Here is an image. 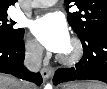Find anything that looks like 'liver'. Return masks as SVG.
Wrapping results in <instances>:
<instances>
[{
	"mask_svg": "<svg viewBox=\"0 0 107 89\" xmlns=\"http://www.w3.org/2000/svg\"><path fill=\"white\" fill-rule=\"evenodd\" d=\"M103 85L102 83L94 82V83H85L82 85L73 84L75 86L85 88V89H96L98 85ZM32 85H28L16 78L1 74L0 76V89H32Z\"/></svg>",
	"mask_w": 107,
	"mask_h": 89,
	"instance_id": "6515ba94",
	"label": "liver"
}]
</instances>
